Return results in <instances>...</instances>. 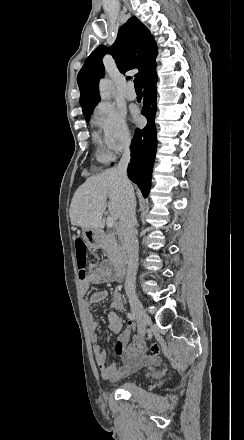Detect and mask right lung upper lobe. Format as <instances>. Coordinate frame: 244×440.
I'll use <instances>...</instances> for the list:
<instances>
[{
	"label": "right lung upper lobe",
	"mask_w": 244,
	"mask_h": 440,
	"mask_svg": "<svg viewBox=\"0 0 244 440\" xmlns=\"http://www.w3.org/2000/svg\"><path fill=\"white\" fill-rule=\"evenodd\" d=\"M110 53L120 72L139 68L137 76L144 78L155 69L157 45L147 27L132 16L118 31L117 38L110 48L97 47L86 59L77 81L81 92L80 104L84 112L94 109L100 100L99 80L104 74L102 58Z\"/></svg>",
	"instance_id": "cb5924a9"
}]
</instances>
